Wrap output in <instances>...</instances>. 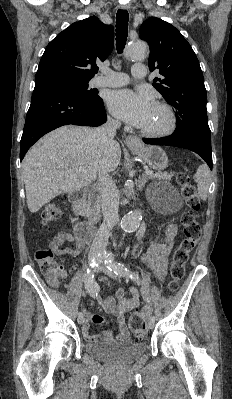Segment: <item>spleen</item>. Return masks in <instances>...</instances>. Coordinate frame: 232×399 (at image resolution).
I'll list each match as a JSON object with an SVG mask.
<instances>
[{"label": "spleen", "mask_w": 232, "mask_h": 399, "mask_svg": "<svg viewBox=\"0 0 232 399\" xmlns=\"http://www.w3.org/2000/svg\"><path fill=\"white\" fill-rule=\"evenodd\" d=\"M194 180L197 184L198 196H200L201 200H207L208 190L211 184V172L206 164L199 166Z\"/></svg>", "instance_id": "1"}]
</instances>
